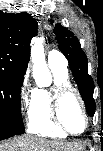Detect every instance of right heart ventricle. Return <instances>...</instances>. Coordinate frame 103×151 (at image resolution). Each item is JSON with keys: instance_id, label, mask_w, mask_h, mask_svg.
Listing matches in <instances>:
<instances>
[{"instance_id": "1", "label": "right heart ventricle", "mask_w": 103, "mask_h": 151, "mask_svg": "<svg viewBox=\"0 0 103 151\" xmlns=\"http://www.w3.org/2000/svg\"><path fill=\"white\" fill-rule=\"evenodd\" d=\"M49 67L53 75V85L32 90L26 117L27 131L40 137L66 138L67 134L56 128L51 121L50 100L54 86L70 85L68 71L57 66Z\"/></svg>"}]
</instances>
